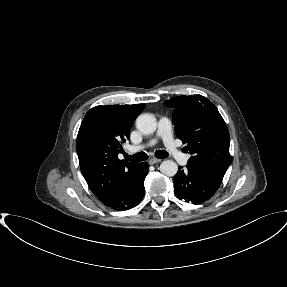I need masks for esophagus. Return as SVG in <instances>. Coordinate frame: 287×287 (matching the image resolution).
I'll use <instances>...</instances> for the list:
<instances>
[{
    "label": "esophagus",
    "mask_w": 287,
    "mask_h": 287,
    "mask_svg": "<svg viewBox=\"0 0 287 287\" xmlns=\"http://www.w3.org/2000/svg\"><path fill=\"white\" fill-rule=\"evenodd\" d=\"M160 162H161V159H157V158H152L149 160L150 165H154V164L160 163Z\"/></svg>",
    "instance_id": "1"
}]
</instances>
